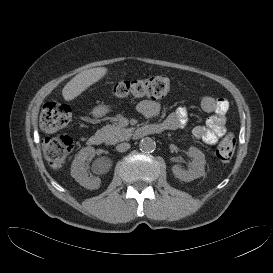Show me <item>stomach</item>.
<instances>
[{
    "label": "stomach",
    "instance_id": "obj_1",
    "mask_svg": "<svg viewBox=\"0 0 273 273\" xmlns=\"http://www.w3.org/2000/svg\"><path fill=\"white\" fill-rule=\"evenodd\" d=\"M110 111V107L109 106H105V105H100L97 106L93 109V115L95 117H103L104 115H106L108 112Z\"/></svg>",
    "mask_w": 273,
    "mask_h": 273
}]
</instances>
